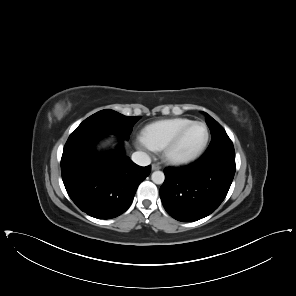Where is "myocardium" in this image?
<instances>
[{
    "label": "myocardium",
    "instance_id": "f54148a6",
    "mask_svg": "<svg viewBox=\"0 0 296 296\" xmlns=\"http://www.w3.org/2000/svg\"><path fill=\"white\" fill-rule=\"evenodd\" d=\"M194 125H200L205 130V137L203 140V143L198 148L197 151H195L192 154L186 155V156H176L172 154V150L175 147V145L179 142L181 136L185 133L187 129H189L191 126ZM209 141V129L207 125L202 121H191L185 126H183L181 129H179L172 137L171 139L165 144V146L162 148V155L165 161L168 163L174 164V165H182L187 164L190 162H193L197 158H199L202 153L205 151L207 144Z\"/></svg>",
    "mask_w": 296,
    "mask_h": 296
}]
</instances>
